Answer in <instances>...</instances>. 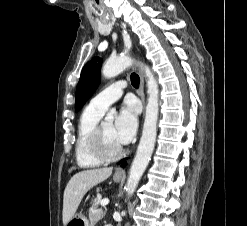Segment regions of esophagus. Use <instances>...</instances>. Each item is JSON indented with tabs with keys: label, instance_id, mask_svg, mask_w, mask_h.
<instances>
[{
	"label": "esophagus",
	"instance_id": "34e87169",
	"mask_svg": "<svg viewBox=\"0 0 247 226\" xmlns=\"http://www.w3.org/2000/svg\"><path fill=\"white\" fill-rule=\"evenodd\" d=\"M139 77H140L139 95H140V98H141V100H142V102H143V105H145L144 76H143V73H142L141 70L139 71ZM116 174H117V175H124V174H125V170L122 169V168H119V169L116 171Z\"/></svg>",
	"mask_w": 247,
	"mask_h": 226
}]
</instances>
